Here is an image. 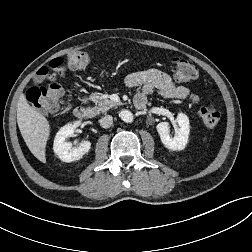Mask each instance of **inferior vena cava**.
Listing matches in <instances>:
<instances>
[{
    "label": "inferior vena cava",
    "instance_id": "602c4592",
    "mask_svg": "<svg viewBox=\"0 0 252 252\" xmlns=\"http://www.w3.org/2000/svg\"><path fill=\"white\" fill-rule=\"evenodd\" d=\"M99 123H100L101 127L109 128V127H111V125L113 123V117L110 115H106L99 120Z\"/></svg>",
    "mask_w": 252,
    "mask_h": 252
}]
</instances>
